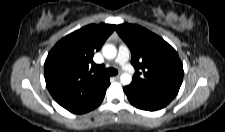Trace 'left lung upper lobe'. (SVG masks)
Instances as JSON below:
<instances>
[{
    "label": "left lung upper lobe",
    "instance_id": "1",
    "mask_svg": "<svg viewBox=\"0 0 225 132\" xmlns=\"http://www.w3.org/2000/svg\"><path fill=\"white\" fill-rule=\"evenodd\" d=\"M116 31L131 50L135 74L130 85L145 92L175 97L184 74L175 49L138 25L123 23L116 26Z\"/></svg>",
    "mask_w": 225,
    "mask_h": 132
}]
</instances>
